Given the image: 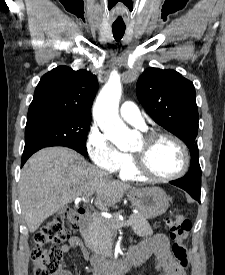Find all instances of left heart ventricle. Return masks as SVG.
<instances>
[{"label":"left heart ventricle","mask_w":225,"mask_h":275,"mask_svg":"<svg viewBox=\"0 0 225 275\" xmlns=\"http://www.w3.org/2000/svg\"><path fill=\"white\" fill-rule=\"evenodd\" d=\"M144 151L146 152L147 165L154 174H174L183 164V155L179 146L169 139H160L147 145L141 138L133 152Z\"/></svg>","instance_id":"left-heart-ventricle-1"}]
</instances>
